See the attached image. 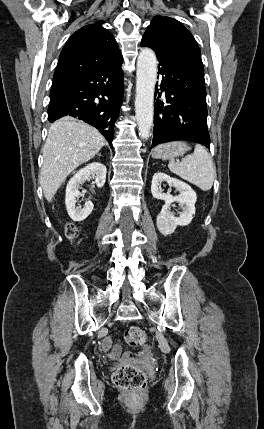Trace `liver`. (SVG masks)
Returning <instances> with one entry per match:
<instances>
[{
  "instance_id": "6515ba94",
  "label": "liver",
  "mask_w": 264,
  "mask_h": 429,
  "mask_svg": "<svg viewBox=\"0 0 264 429\" xmlns=\"http://www.w3.org/2000/svg\"><path fill=\"white\" fill-rule=\"evenodd\" d=\"M106 144L100 132L71 117L54 122L43 148V165L39 181L48 202L67 176L79 165L93 158Z\"/></svg>"
}]
</instances>
